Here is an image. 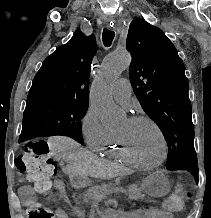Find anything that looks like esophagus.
I'll return each instance as SVG.
<instances>
[{"instance_id": "1", "label": "esophagus", "mask_w": 211, "mask_h": 218, "mask_svg": "<svg viewBox=\"0 0 211 218\" xmlns=\"http://www.w3.org/2000/svg\"><path fill=\"white\" fill-rule=\"evenodd\" d=\"M107 27H108V28H110V25H109V23H107Z\"/></svg>"}]
</instances>
